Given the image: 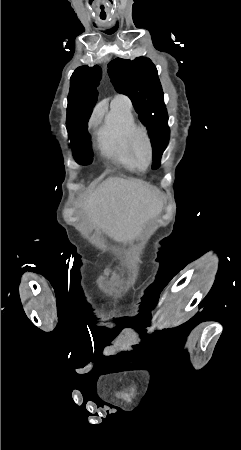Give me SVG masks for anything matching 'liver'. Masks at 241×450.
Masks as SVG:
<instances>
[{
    "label": "liver",
    "mask_w": 241,
    "mask_h": 450,
    "mask_svg": "<svg viewBox=\"0 0 241 450\" xmlns=\"http://www.w3.org/2000/svg\"><path fill=\"white\" fill-rule=\"evenodd\" d=\"M162 204L159 190L141 180L107 178L87 196L82 208L95 226L115 236L116 228L137 224L144 216H154Z\"/></svg>",
    "instance_id": "6515ba94"
}]
</instances>
